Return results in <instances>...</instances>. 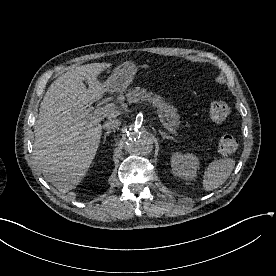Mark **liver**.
<instances>
[{"mask_svg":"<svg viewBox=\"0 0 276 276\" xmlns=\"http://www.w3.org/2000/svg\"><path fill=\"white\" fill-rule=\"evenodd\" d=\"M110 66L92 63L67 71L50 85L40 104L34 155L44 178L61 193L82 181L97 152L102 126L89 119L86 108L103 97L105 86L98 76Z\"/></svg>","mask_w":276,"mask_h":276,"instance_id":"liver-1","label":"liver"}]
</instances>
